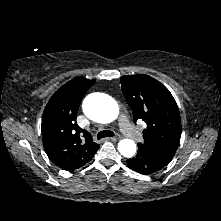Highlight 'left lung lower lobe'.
<instances>
[{
	"label": "left lung lower lobe",
	"instance_id": "obj_1",
	"mask_svg": "<svg viewBox=\"0 0 221 221\" xmlns=\"http://www.w3.org/2000/svg\"><path fill=\"white\" fill-rule=\"evenodd\" d=\"M171 160L159 157L151 151L138 148L136 157L128 159L127 163L144 175L155 173L164 168Z\"/></svg>",
	"mask_w": 221,
	"mask_h": 221
}]
</instances>
